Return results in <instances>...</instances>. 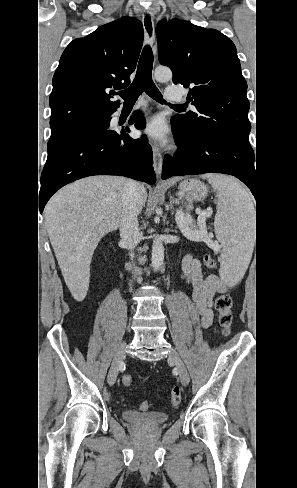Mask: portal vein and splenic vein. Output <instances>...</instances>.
Masks as SVG:
<instances>
[{
	"mask_svg": "<svg viewBox=\"0 0 297 488\" xmlns=\"http://www.w3.org/2000/svg\"><path fill=\"white\" fill-rule=\"evenodd\" d=\"M211 212H212L211 208H208L206 211L197 210L198 221L201 223L202 229L205 226L204 221H205L206 217H208ZM180 222L183 223L184 225L191 224L193 222V219H192L190 213L186 212V214H185V213L181 212Z\"/></svg>",
	"mask_w": 297,
	"mask_h": 488,
	"instance_id": "portal-vein-and-splenic-vein-1",
	"label": "portal vein and splenic vein"
}]
</instances>
